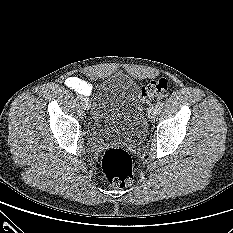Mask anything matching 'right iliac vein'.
I'll list each match as a JSON object with an SVG mask.
<instances>
[{"instance_id":"63e3f726","label":"right iliac vein","mask_w":233,"mask_h":233,"mask_svg":"<svg viewBox=\"0 0 233 233\" xmlns=\"http://www.w3.org/2000/svg\"><path fill=\"white\" fill-rule=\"evenodd\" d=\"M81 105L85 110H88L90 108V102L87 98L82 99Z\"/></svg>"}]
</instances>
